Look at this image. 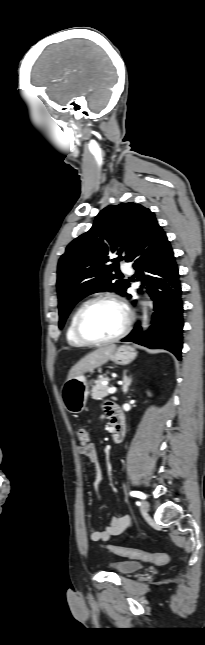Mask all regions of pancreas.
I'll return each instance as SVG.
<instances>
[{
    "label": "pancreas",
    "mask_w": 205,
    "mask_h": 645,
    "mask_svg": "<svg viewBox=\"0 0 205 645\" xmlns=\"http://www.w3.org/2000/svg\"><path fill=\"white\" fill-rule=\"evenodd\" d=\"M108 380V378H101L96 382V384L92 388V397L95 400H101L102 398L106 397L108 395V390L109 386L108 385H103L102 383L104 381Z\"/></svg>",
    "instance_id": "obj_1"
}]
</instances>
